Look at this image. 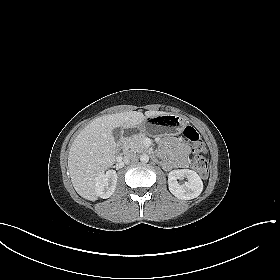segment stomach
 Here are the masks:
<instances>
[{"mask_svg":"<svg viewBox=\"0 0 280 280\" xmlns=\"http://www.w3.org/2000/svg\"><path fill=\"white\" fill-rule=\"evenodd\" d=\"M185 120L174 114H165L149 118L137 126L139 131L145 133H153L157 130H162L171 135H178L185 127Z\"/></svg>","mask_w":280,"mask_h":280,"instance_id":"1","label":"stomach"}]
</instances>
